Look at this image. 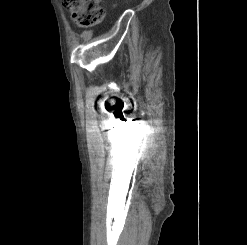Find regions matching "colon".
<instances>
[{
	"mask_svg": "<svg viewBox=\"0 0 247 245\" xmlns=\"http://www.w3.org/2000/svg\"><path fill=\"white\" fill-rule=\"evenodd\" d=\"M74 22L83 27L97 25L104 19L105 12L100 0H63Z\"/></svg>",
	"mask_w": 247,
	"mask_h": 245,
	"instance_id": "5ec220e1",
	"label": "colon"
}]
</instances>
